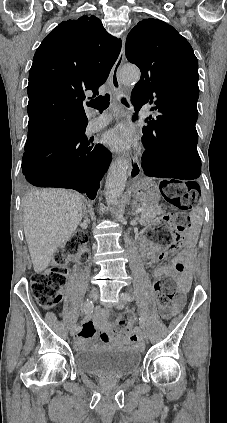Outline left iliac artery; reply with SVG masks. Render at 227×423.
<instances>
[{"instance_id": "44dca946", "label": "left iliac artery", "mask_w": 227, "mask_h": 423, "mask_svg": "<svg viewBox=\"0 0 227 423\" xmlns=\"http://www.w3.org/2000/svg\"><path fill=\"white\" fill-rule=\"evenodd\" d=\"M124 300H125V302H132V301L135 300V298L132 294L125 293L124 294ZM139 323H140L142 328H145V319L141 314H140V317H139Z\"/></svg>"}]
</instances>
